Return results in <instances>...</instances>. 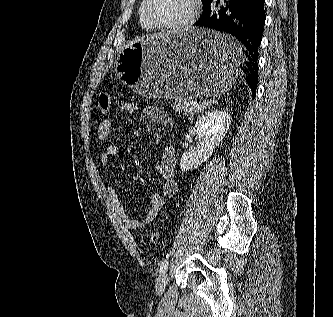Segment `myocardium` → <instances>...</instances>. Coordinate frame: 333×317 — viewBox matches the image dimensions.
Segmentation results:
<instances>
[{"label": "myocardium", "instance_id": "1", "mask_svg": "<svg viewBox=\"0 0 333 317\" xmlns=\"http://www.w3.org/2000/svg\"><path fill=\"white\" fill-rule=\"evenodd\" d=\"M151 0H143L142 5V12L147 20V22L154 28V29H161V30H167L172 32H182L187 29H189L197 20L200 9H201V2L200 0H189L190 2V12L188 16L181 22L176 24H165L160 23L156 20H154L150 13H149V4Z\"/></svg>", "mask_w": 333, "mask_h": 317}]
</instances>
